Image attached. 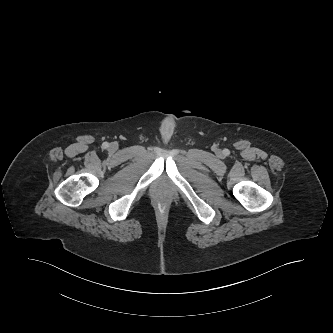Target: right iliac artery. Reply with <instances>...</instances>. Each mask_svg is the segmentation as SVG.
<instances>
[{"label": "right iliac artery", "mask_w": 333, "mask_h": 333, "mask_svg": "<svg viewBox=\"0 0 333 333\" xmlns=\"http://www.w3.org/2000/svg\"><path fill=\"white\" fill-rule=\"evenodd\" d=\"M109 147V144L107 143V142H104L103 144H102V148L103 149H106V148H108Z\"/></svg>", "instance_id": "82829eb1"}]
</instances>
